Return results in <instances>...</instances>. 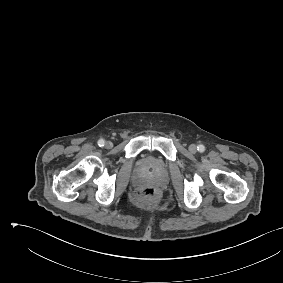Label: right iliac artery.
Masks as SVG:
<instances>
[{
    "label": "right iliac artery",
    "mask_w": 283,
    "mask_h": 283,
    "mask_svg": "<svg viewBox=\"0 0 283 283\" xmlns=\"http://www.w3.org/2000/svg\"><path fill=\"white\" fill-rule=\"evenodd\" d=\"M104 144H105V141H104L103 139H100V140L98 141V145H99L100 147H103Z\"/></svg>",
    "instance_id": "82829eb1"
}]
</instances>
